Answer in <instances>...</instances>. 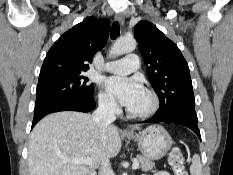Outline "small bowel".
<instances>
[{
    "instance_id": "1",
    "label": "small bowel",
    "mask_w": 233,
    "mask_h": 175,
    "mask_svg": "<svg viewBox=\"0 0 233 175\" xmlns=\"http://www.w3.org/2000/svg\"><path fill=\"white\" fill-rule=\"evenodd\" d=\"M142 175H147V174H142ZM155 175H171V174L168 173L167 171H159V172L156 173Z\"/></svg>"
}]
</instances>
